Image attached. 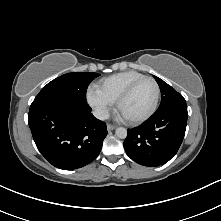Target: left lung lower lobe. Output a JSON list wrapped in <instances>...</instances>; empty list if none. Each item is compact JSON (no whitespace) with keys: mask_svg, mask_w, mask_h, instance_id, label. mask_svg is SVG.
I'll use <instances>...</instances> for the list:
<instances>
[{"mask_svg":"<svg viewBox=\"0 0 221 221\" xmlns=\"http://www.w3.org/2000/svg\"><path fill=\"white\" fill-rule=\"evenodd\" d=\"M186 104L157 111L141 126L128 129L124 141L127 155L135 162L150 167L167 163L178 151L187 125Z\"/></svg>","mask_w":221,"mask_h":221,"instance_id":"1","label":"left lung lower lobe"}]
</instances>
